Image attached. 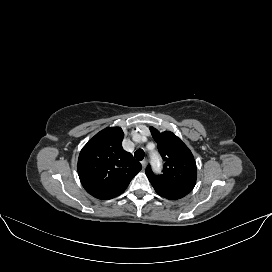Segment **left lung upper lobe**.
Wrapping results in <instances>:
<instances>
[{"mask_svg": "<svg viewBox=\"0 0 272 272\" xmlns=\"http://www.w3.org/2000/svg\"><path fill=\"white\" fill-rule=\"evenodd\" d=\"M151 134L165 161L163 174L155 175L150 165L146 175L155 191L170 200L183 198L190 193L196 183V162L188 147L172 132L160 133L150 127Z\"/></svg>", "mask_w": 272, "mask_h": 272, "instance_id": "obj_1", "label": "left lung upper lobe"}]
</instances>
